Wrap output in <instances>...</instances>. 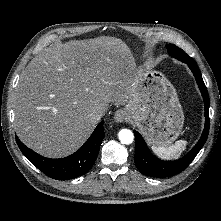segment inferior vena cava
I'll return each instance as SVG.
<instances>
[{
  "label": "inferior vena cava",
  "mask_w": 221,
  "mask_h": 221,
  "mask_svg": "<svg viewBox=\"0 0 221 221\" xmlns=\"http://www.w3.org/2000/svg\"><path fill=\"white\" fill-rule=\"evenodd\" d=\"M105 112H106L105 110L97 109L92 111L90 116L92 119L99 121L102 118V116L105 114Z\"/></svg>",
  "instance_id": "obj_1"
}]
</instances>
